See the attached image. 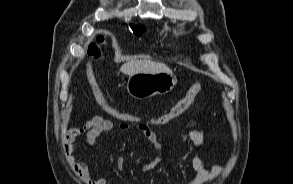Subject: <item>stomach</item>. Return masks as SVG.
<instances>
[{
  "label": "stomach",
  "instance_id": "0dacf381",
  "mask_svg": "<svg viewBox=\"0 0 293 184\" xmlns=\"http://www.w3.org/2000/svg\"><path fill=\"white\" fill-rule=\"evenodd\" d=\"M177 84L172 72L136 73L127 81V92L136 99H147L157 94L169 93Z\"/></svg>",
  "mask_w": 293,
  "mask_h": 184
}]
</instances>
